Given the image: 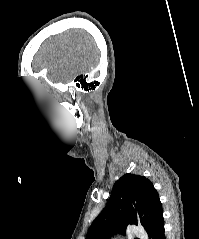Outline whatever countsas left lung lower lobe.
<instances>
[{"label":"left lung lower lobe","mask_w":199,"mask_h":239,"mask_svg":"<svg viewBox=\"0 0 199 239\" xmlns=\"http://www.w3.org/2000/svg\"><path fill=\"white\" fill-rule=\"evenodd\" d=\"M146 232L151 239H166L164 233L163 210L158 212L146 229Z\"/></svg>","instance_id":"obj_1"}]
</instances>
